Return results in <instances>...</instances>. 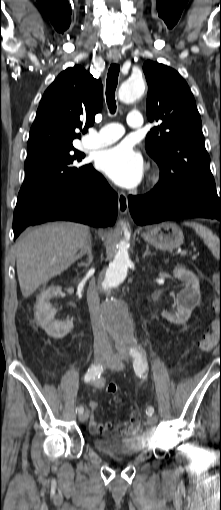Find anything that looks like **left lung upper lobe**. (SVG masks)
I'll list each match as a JSON object with an SVG mask.
<instances>
[{
	"instance_id": "obj_1",
	"label": "left lung upper lobe",
	"mask_w": 221,
	"mask_h": 510,
	"mask_svg": "<svg viewBox=\"0 0 221 510\" xmlns=\"http://www.w3.org/2000/svg\"><path fill=\"white\" fill-rule=\"evenodd\" d=\"M148 83L147 117L161 121L146 137V150L160 168L162 192L216 191L194 97L180 74L158 62L143 65Z\"/></svg>"
}]
</instances>
